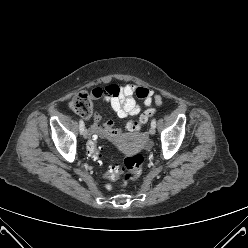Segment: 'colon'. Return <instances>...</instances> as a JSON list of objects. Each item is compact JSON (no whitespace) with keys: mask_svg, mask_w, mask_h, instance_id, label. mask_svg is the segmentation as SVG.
Listing matches in <instances>:
<instances>
[{"mask_svg":"<svg viewBox=\"0 0 248 248\" xmlns=\"http://www.w3.org/2000/svg\"><path fill=\"white\" fill-rule=\"evenodd\" d=\"M108 87L113 95L118 93V87L116 85H109L104 89H95L91 94L81 93L72 99L69 105L70 109L81 117H89L93 112V100L103 97L104 95H111V93L107 92ZM153 115V109L145 111L138 120L128 122L127 129L132 132L139 131ZM85 149L93 160L98 162L101 160V147L95 138H88L85 141ZM143 162L144 158L140 153L127 155L123 159L122 165H109L104 172V177L109 180L122 178L123 185H126L140 176Z\"/></svg>","mask_w":248,"mask_h":248,"instance_id":"colon-1","label":"colon"}]
</instances>
